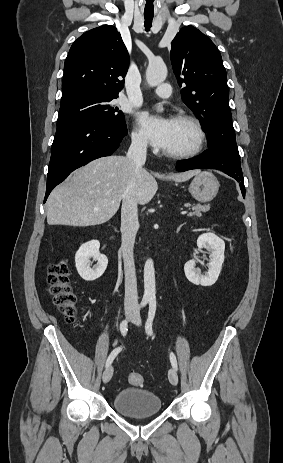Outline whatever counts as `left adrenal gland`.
<instances>
[{
    "mask_svg": "<svg viewBox=\"0 0 283 463\" xmlns=\"http://www.w3.org/2000/svg\"><path fill=\"white\" fill-rule=\"evenodd\" d=\"M183 225H184V224H181V225L178 227V230H180V229L182 228Z\"/></svg>",
    "mask_w": 283,
    "mask_h": 463,
    "instance_id": "a2214340",
    "label": "left adrenal gland"
}]
</instances>
